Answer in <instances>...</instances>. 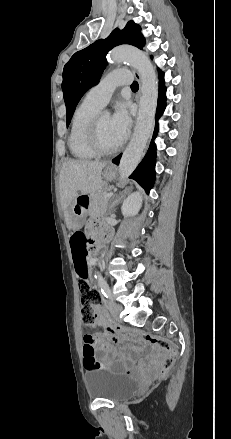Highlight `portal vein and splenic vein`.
Masks as SVG:
<instances>
[{"instance_id": "18ae733b", "label": "portal vein and splenic vein", "mask_w": 231, "mask_h": 439, "mask_svg": "<svg viewBox=\"0 0 231 439\" xmlns=\"http://www.w3.org/2000/svg\"><path fill=\"white\" fill-rule=\"evenodd\" d=\"M112 195H113L112 193H108V194H105L104 197L105 198H110Z\"/></svg>"}]
</instances>
